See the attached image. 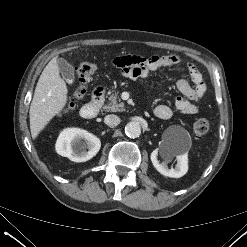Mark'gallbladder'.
<instances>
[{"label": "gallbladder", "mask_w": 247, "mask_h": 247, "mask_svg": "<svg viewBox=\"0 0 247 247\" xmlns=\"http://www.w3.org/2000/svg\"><path fill=\"white\" fill-rule=\"evenodd\" d=\"M57 64L59 67V71L62 75V77L69 83L72 84L75 75H74V68L72 65H70L65 59L63 58H58L57 59Z\"/></svg>", "instance_id": "gallbladder-1"}]
</instances>
